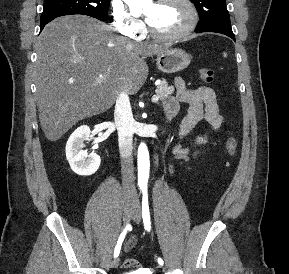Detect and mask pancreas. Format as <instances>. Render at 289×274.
Instances as JSON below:
<instances>
[{
	"label": "pancreas",
	"mask_w": 289,
	"mask_h": 274,
	"mask_svg": "<svg viewBox=\"0 0 289 274\" xmlns=\"http://www.w3.org/2000/svg\"><path fill=\"white\" fill-rule=\"evenodd\" d=\"M174 92V87L168 86V83L165 79L161 81V83L157 86L155 93L160 98H166Z\"/></svg>",
	"instance_id": "obj_1"
}]
</instances>
